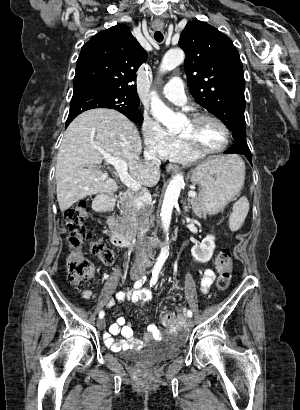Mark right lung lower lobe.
I'll list each match as a JSON object with an SVG mask.
<instances>
[{"label": "right lung lower lobe", "instance_id": "obj_1", "mask_svg": "<svg viewBox=\"0 0 300 410\" xmlns=\"http://www.w3.org/2000/svg\"><path fill=\"white\" fill-rule=\"evenodd\" d=\"M72 120H73V119H72ZM72 120L67 121V122H66V126H68L69 123H70Z\"/></svg>", "mask_w": 300, "mask_h": 410}]
</instances>
